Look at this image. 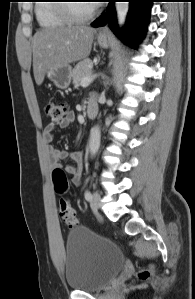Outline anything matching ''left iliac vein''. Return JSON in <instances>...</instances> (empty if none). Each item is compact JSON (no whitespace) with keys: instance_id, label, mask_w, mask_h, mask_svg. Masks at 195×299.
<instances>
[{"instance_id":"left-iliac-vein-1","label":"left iliac vein","mask_w":195,"mask_h":299,"mask_svg":"<svg viewBox=\"0 0 195 299\" xmlns=\"http://www.w3.org/2000/svg\"><path fill=\"white\" fill-rule=\"evenodd\" d=\"M90 206L94 212H97L98 209L100 208L101 200H100V195L98 194V192L93 193L92 199L90 201Z\"/></svg>"}]
</instances>
